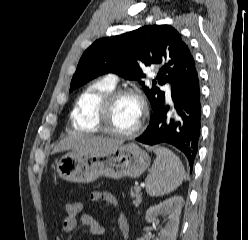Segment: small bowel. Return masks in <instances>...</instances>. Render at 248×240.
Listing matches in <instances>:
<instances>
[{"label": "small bowel", "instance_id": "small-bowel-1", "mask_svg": "<svg viewBox=\"0 0 248 240\" xmlns=\"http://www.w3.org/2000/svg\"><path fill=\"white\" fill-rule=\"evenodd\" d=\"M90 199L94 202L98 201H104L108 203L112 208H117L118 202L113 194L105 191H93L90 194ZM81 221L83 224L87 225L90 228V231L94 235L102 234L104 231V228L102 224L92 218L90 215L82 214L81 215ZM117 225L121 232V234L128 238L130 234V227L127 221V218L124 214L119 213L117 216ZM77 226V216L69 217L66 216L62 222V230L65 233H72ZM54 240H62L60 237H55Z\"/></svg>", "mask_w": 248, "mask_h": 240}]
</instances>
